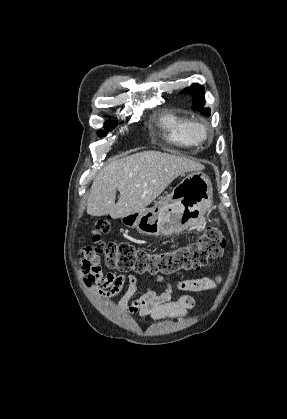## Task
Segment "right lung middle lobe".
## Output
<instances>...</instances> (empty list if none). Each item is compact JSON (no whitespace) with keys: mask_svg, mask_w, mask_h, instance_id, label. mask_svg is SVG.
Masks as SVG:
<instances>
[{"mask_svg":"<svg viewBox=\"0 0 287 419\" xmlns=\"http://www.w3.org/2000/svg\"><path fill=\"white\" fill-rule=\"evenodd\" d=\"M115 127V123L114 122H108L106 125H105V128L107 129V130H113V128ZM98 135L100 136V137H104V136H106V132L105 131H102V130H99L98 131Z\"/></svg>","mask_w":287,"mask_h":419,"instance_id":"dd1d6c3e","label":"right lung middle lobe"}]
</instances>
